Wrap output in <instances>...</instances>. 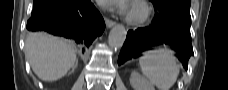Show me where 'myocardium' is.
<instances>
[{
    "instance_id": "obj_1",
    "label": "myocardium",
    "mask_w": 228,
    "mask_h": 90,
    "mask_svg": "<svg viewBox=\"0 0 228 90\" xmlns=\"http://www.w3.org/2000/svg\"><path fill=\"white\" fill-rule=\"evenodd\" d=\"M150 14V7L145 1H134L126 16V21L131 25H141L149 19Z\"/></svg>"
}]
</instances>
